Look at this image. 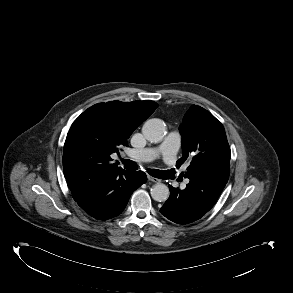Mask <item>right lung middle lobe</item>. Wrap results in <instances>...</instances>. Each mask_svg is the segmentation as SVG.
I'll return each mask as SVG.
<instances>
[{
  "label": "right lung middle lobe",
  "mask_w": 293,
  "mask_h": 293,
  "mask_svg": "<svg viewBox=\"0 0 293 293\" xmlns=\"http://www.w3.org/2000/svg\"><path fill=\"white\" fill-rule=\"evenodd\" d=\"M92 159L93 158L91 156L84 157L83 160H82L83 167L90 168L92 166L97 165V163L94 162Z\"/></svg>",
  "instance_id": "1"
}]
</instances>
